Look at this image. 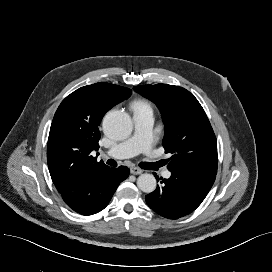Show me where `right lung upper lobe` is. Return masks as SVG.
Here are the masks:
<instances>
[{
    "instance_id": "1",
    "label": "right lung upper lobe",
    "mask_w": 272,
    "mask_h": 272,
    "mask_svg": "<svg viewBox=\"0 0 272 272\" xmlns=\"http://www.w3.org/2000/svg\"><path fill=\"white\" fill-rule=\"evenodd\" d=\"M131 90L100 82L81 87L58 107L51 124L47 161L54 185L61 195L75 191L109 168L91 155L98 150V126L104 114L127 99Z\"/></svg>"
}]
</instances>
